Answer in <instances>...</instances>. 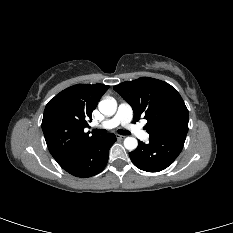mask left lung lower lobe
<instances>
[{
	"label": "left lung lower lobe",
	"instance_id": "left-lung-lower-lobe-1",
	"mask_svg": "<svg viewBox=\"0 0 233 233\" xmlns=\"http://www.w3.org/2000/svg\"><path fill=\"white\" fill-rule=\"evenodd\" d=\"M184 142L183 138L149 139L148 144L139 142L129 156L137 168L147 172H159L177 158Z\"/></svg>",
	"mask_w": 233,
	"mask_h": 233
}]
</instances>
